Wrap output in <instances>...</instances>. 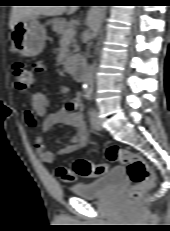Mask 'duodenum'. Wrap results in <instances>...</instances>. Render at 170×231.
I'll list each match as a JSON object with an SVG mask.
<instances>
[{
    "instance_id": "410a0bca",
    "label": "duodenum",
    "mask_w": 170,
    "mask_h": 231,
    "mask_svg": "<svg viewBox=\"0 0 170 231\" xmlns=\"http://www.w3.org/2000/svg\"><path fill=\"white\" fill-rule=\"evenodd\" d=\"M68 68L77 80L82 81L84 79L86 69L82 61L71 64L68 66Z\"/></svg>"
}]
</instances>
